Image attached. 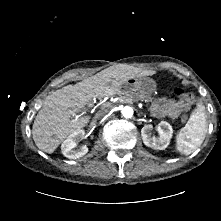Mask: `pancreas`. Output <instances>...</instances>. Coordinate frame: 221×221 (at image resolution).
Listing matches in <instances>:
<instances>
[{
	"mask_svg": "<svg viewBox=\"0 0 221 221\" xmlns=\"http://www.w3.org/2000/svg\"><path fill=\"white\" fill-rule=\"evenodd\" d=\"M140 99L146 101V102H149L151 101V98L148 96V95H143V96H140ZM123 100L124 101H129V102H132V101H136L137 98L133 95V94H127L126 97H123Z\"/></svg>",
	"mask_w": 221,
	"mask_h": 221,
	"instance_id": "pancreas-1",
	"label": "pancreas"
}]
</instances>
